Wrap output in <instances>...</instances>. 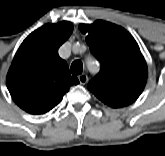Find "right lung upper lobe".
<instances>
[{"label": "right lung upper lobe", "instance_id": "right-lung-upper-lobe-1", "mask_svg": "<svg viewBox=\"0 0 165 156\" xmlns=\"http://www.w3.org/2000/svg\"><path fill=\"white\" fill-rule=\"evenodd\" d=\"M73 30L70 22L46 24L32 32L19 47L7 74V87L14 102L30 114H44L55 107L70 86L71 76L58 48Z\"/></svg>", "mask_w": 165, "mask_h": 156}]
</instances>
